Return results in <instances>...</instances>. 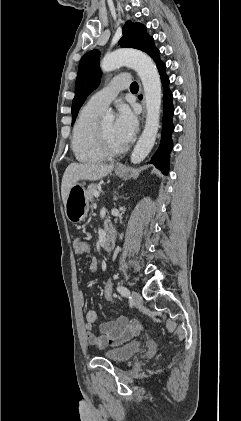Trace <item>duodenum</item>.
<instances>
[{
  "label": "duodenum",
  "instance_id": "410a0bca",
  "mask_svg": "<svg viewBox=\"0 0 241 421\" xmlns=\"http://www.w3.org/2000/svg\"><path fill=\"white\" fill-rule=\"evenodd\" d=\"M114 242H115V232L111 230L106 234L103 240V249L105 251L112 250L114 247Z\"/></svg>",
  "mask_w": 241,
  "mask_h": 421
}]
</instances>
